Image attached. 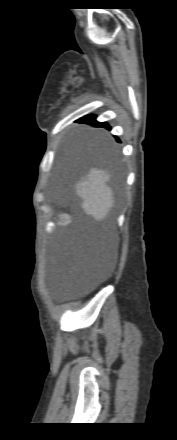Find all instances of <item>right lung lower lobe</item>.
Returning <instances> with one entry per match:
<instances>
[{"instance_id": "1", "label": "right lung lower lobe", "mask_w": 177, "mask_h": 440, "mask_svg": "<svg viewBox=\"0 0 177 440\" xmlns=\"http://www.w3.org/2000/svg\"><path fill=\"white\" fill-rule=\"evenodd\" d=\"M80 122L88 123V124H91V125L96 126V127H104L106 129H110V127H109V125L107 123H105V122H102V123L101 122H97L95 120V116H91V115L83 117L82 119H80Z\"/></svg>"}]
</instances>
